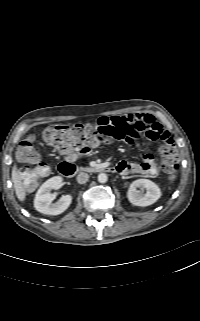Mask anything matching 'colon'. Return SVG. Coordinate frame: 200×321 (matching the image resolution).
Returning a JSON list of instances; mask_svg holds the SVG:
<instances>
[{
  "label": "colon",
  "mask_w": 200,
  "mask_h": 321,
  "mask_svg": "<svg viewBox=\"0 0 200 321\" xmlns=\"http://www.w3.org/2000/svg\"><path fill=\"white\" fill-rule=\"evenodd\" d=\"M44 139L49 145L63 152L84 154L96 146L120 139V132L114 124L52 125L45 129ZM18 157L31 165L21 171L22 179L28 187H34L48 174V166L39 162L33 136L26 137L20 143ZM178 166L177 151L172 146L168 147L162 152L161 167L169 181L175 180Z\"/></svg>",
  "instance_id": "5ec220e1"
}]
</instances>
